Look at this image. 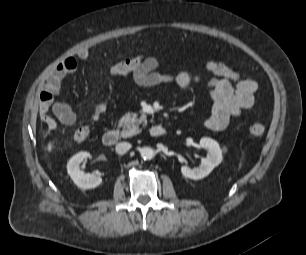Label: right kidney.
Here are the masks:
<instances>
[{"label":"right kidney","mask_w":306,"mask_h":255,"mask_svg":"<svg viewBox=\"0 0 306 255\" xmlns=\"http://www.w3.org/2000/svg\"><path fill=\"white\" fill-rule=\"evenodd\" d=\"M90 157L88 152H79L72 156L67 163V172L73 182L81 189H92L96 188L102 183L100 176L94 174L85 173L80 170V163Z\"/></svg>","instance_id":"right-kidney-1"}]
</instances>
